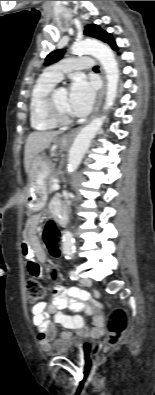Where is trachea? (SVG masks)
Returning <instances> with one entry per match:
<instances>
[{
    "label": "trachea",
    "mask_w": 155,
    "mask_h": 395,
    "mask_svg": "<svg viewBox=\"0 0 155 395\" xmlns=\"http://www.w3.org/2000/svg\"><path fill=\"white\" fill-rule=\"evenodd\" d=\"M98 68H99L98 66H95L93 69H94V70H98Z\"/></svg>",
    "instance_id": "trachea-1"
}]
</instances>
